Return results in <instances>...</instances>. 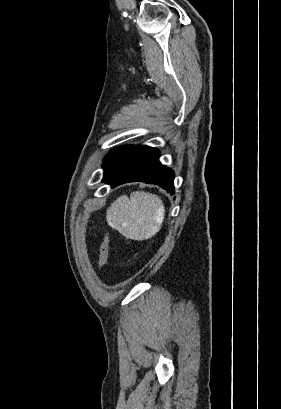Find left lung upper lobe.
Returning a JSON list of instances; mask_svg holds the SVG:
<instances>
[{"label":"left lung upper lobe","instance_id":"1","mask_svg":"<svg viewBox=\"0 0 281 409\" xmlns=\"http://www.w3.org/2000/svg\"><path fill=\"white\" fill-rule=\"evenodd\" d=\"M130 147H132L131 145H126V146H121V147H117L115 149H113L112 151H110V153L105 157L104 159V163H107L108 161L112 160L113 158H115L116 156H118L119 154H121L122 152L126 151L127 149H129ZM105 165H103L104 167Z\"/></svg>","mask_w":281,"mask_h":409}]
</instances>
